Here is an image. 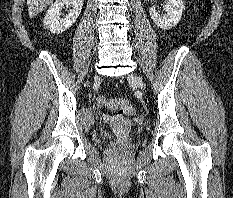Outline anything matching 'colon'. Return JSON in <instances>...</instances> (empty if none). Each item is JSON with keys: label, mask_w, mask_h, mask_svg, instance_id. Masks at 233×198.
I'll return each mask as SVG.
<instances>
[{"label": "colon", "mask_w": 233, "mask_h": 198, "mask_svg": "<svg viewBox=\"0 0 233 198\" xmlns=\"http://www.w3.org/2000/svg\"><path fill=\"white\" fill-rule=\"evenodd\" d=\"M97 105L100 108L117 110L128 116L134 115L136 112L135 107L128 98H107L105 96H100L97 98Z\"/></svg>", "instance_id": "1"}]
</instances>
